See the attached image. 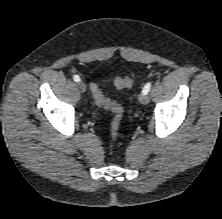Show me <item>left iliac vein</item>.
I'll return each instance as SVG.
<instances>
[{"label": "left iliac vein", "instance_id": "left-iliac-vein-1", "mask_svg": "<svg viewBox=\"0 0 222 219\" xmlns=\"http://www.w3.org/2000/svg\"><path fill=\"white\" fill-rule=\"evenodd\" d=\"M138 100L141 104L146 105L149 103L150 98L148 94L141 93L138 97Z\"/></svg>", "mask_w": 222, "mask_h": 219}]
</instances>
